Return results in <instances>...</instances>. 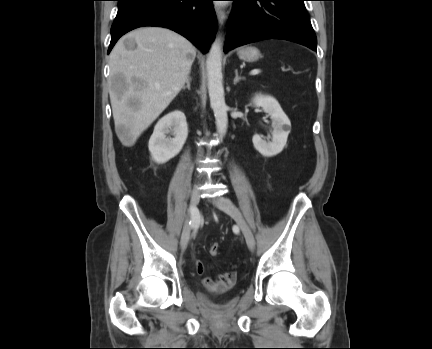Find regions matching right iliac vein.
Listing matches in <instances>:
<instances>
[{
    "label": "right iliac vein",
    "instance_id": "1",
    "mask_svg": "<svg viewBox=\"0 0 432 349\" xmlns=\"http://www.w3.org/2000/svg\"><path fill=\"white\" fill-rule=\"evenodd\" d=\"M199 201H200L199 191L194 190L191 195L190 206L188 209V216L186 218L183 232L181 235L180 245L182 249L186 248L190 238V233H191V225L189 224L190 221L194 222V226H197L199 223V212L197 210V205ZM193 214L196 216L194 219L191 217Z\"/></svg>",
    "mask_w": 432,
    "mask_h": 349
}]
</instances>
